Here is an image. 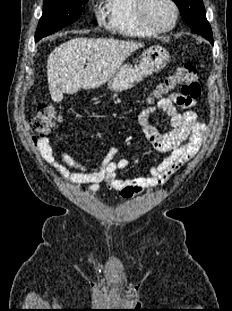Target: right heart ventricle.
Wrapping results in <instances>:
<instances>
[{"label":"right heart ventricle","mask_w":232,"mask_h":311,"mask_svg":"<svg viewBox=\"0 0 232 311\" xmlns=\"http://www.w3.org/2000/svg\"><path fill=\"white\" fill-rule=\"evenodd\" d=\"M136 0H105V25L108 29L127 37H146L152 34L143 27L135 13Z\"/></svg>","instance_id":"right-heart-ventricle-1"}]
</instances>
